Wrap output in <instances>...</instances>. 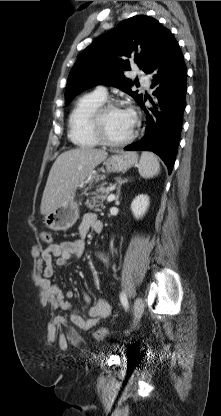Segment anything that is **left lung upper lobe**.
Listing matches in <instances>:
<instances>
[{
    "label": "left lung upper lobe",
    "mask_w": 221,
    "mask_h": 416,
    "mask_svg": "<svg viewBox=\"0 0 221 416\" xmlns=\"http://www.w3.org/2000/svg\"><path fill=\"white\" fill-rule=\"evenodd\" d=\"M167 28L156 19L139 15L121 22L97 38L80 55L67 81L65 104L89 87L104 84L117 87L138 104L143 96L131 90L132 81L124 75L133 62L148 74Z\"/></svg>",
    "instance_id": "1"
}]
</instances>
